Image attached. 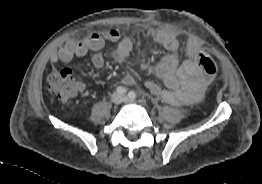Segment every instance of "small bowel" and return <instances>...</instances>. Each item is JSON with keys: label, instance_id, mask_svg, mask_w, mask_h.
Masks as SVG:
<instances>
[{"label": "small bowel", "instance_id": "obj_1", "mask_svg": "<svg viewBox=\"0 0 262 184\" xmlns=\"http://www.w3.org/2000/svg\"><path fill=\"white\" fill-rule=\"evenodd\" d=\"M144 36L161 45L166 51V55L157 64H145L143 66L146 73L158 76L164 82L165 88L153 81H147L145 83L146 88L171 105H190L199 102L203 98L209 77L194 61L196 52H198L196 49L197 42L194 39H188L185 42V47L188 49L185 52L187 59L180 61L178 57L180 43L175 32L146 30ZM107 41L117 43L114 59L120 64L126 62L136 43L134 38L123 37L115 29L98 31L82 40L67 42L51 55L50 62L52 64L66 63L75 57H84L88 52H93L91 60L94 67L102 68L104 58L100 50ZM123 83L132 85L134 78L127 75L123 78Z\"/></svg>", "mask_w": 262, "mask_h": 184}]
</instances>
